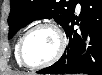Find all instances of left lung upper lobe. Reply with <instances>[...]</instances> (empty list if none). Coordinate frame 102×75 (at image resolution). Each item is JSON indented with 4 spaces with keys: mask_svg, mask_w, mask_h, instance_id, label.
Here are the masks:
<instances>
[{
    "mask_svg": "<svg viewBox=\"0 0 102 75\" xmlns=\"http://www.w3.org/2000/svg\"><path fill=\"white\" fill-rule=\"evenodd\" d=\"M80 0H10L11 11L8 17L9 39L30 22L37 19H51L62 27L74 13Z\"/></svg>",
    "mask_w": 102,
    "mask_h": 75,
    "instance_id": "5c2ea615",
    "label": "left lung upper lobe"
}]
</instances>
